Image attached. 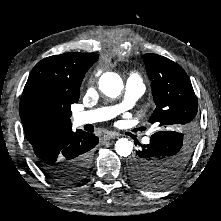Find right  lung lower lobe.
<instances>
[{"label": "right lung lower lobe", "instance_id": "98d812e1", "mask_svg": "<svg viewBox=\"0 0 221 221\" xmlns=\"http://www.w3.org/2000/svg\"><path fill=\"white\" fill-rule=\"evenodd\" d=\"M99 142L94 134L72 129L47 135L31 145L43 173L61 184L82 180L90 167V150Z\"/></svg>", "mask_w": 221, "mask_h": 221}]
</instances>
